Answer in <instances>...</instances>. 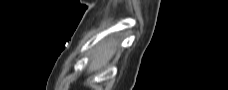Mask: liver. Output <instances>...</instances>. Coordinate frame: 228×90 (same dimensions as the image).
I'll use <instances>...</instances> for the list:
<instances>
[{
  "label": "liver",
  "mask_w": 228,
  "mask_h": 90,
  "mask_svg": "<svg viewBox=\"0 0 228 90\" xmlns=\"http://www.w3.org/2000/svg\"><path fill=\"white\" fill-rule=\"evenodd\" d=\"M116 46H117V43L114 41H109L99 46L93 52V56L88 68V72L89 73L96 72L101 70L103 67H105L113 57L116 51Z\"/></svg>",
  "instance_id": "obj_1"
}]
</instances>
